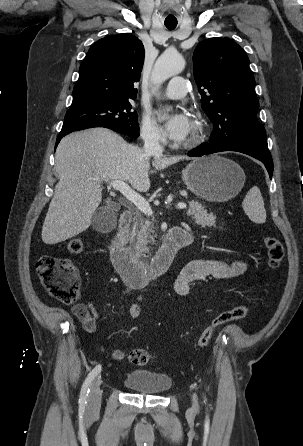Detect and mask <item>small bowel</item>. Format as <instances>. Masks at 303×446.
<instances>
[{
    "mask_svg": "<svg viewBox=\"0 0 303 446\" xmlns=\"http://www.w3.org/2000/svg\"><path fill=\"white\" fill-rule=\"evenodd\" d=\"M189 234L192 236L191 233ZM245 270L246 265L241 261L227 263L214 259H195L187 263L179 272L174 281V290L180 296H187L194 284L208 277L229 279L243 274ZM71 313L81 322L87 332L93 333L98 330L99 318L91 302L73 305L71 307ZM139 315V304H132L128 309V317L130 319H136Z\"/></svg>",
    "mask_w": 303,
    "mask_h": 446,
    "instance_id": "c3829d8e",
    "label": "small bowel"
}]
</instances>
